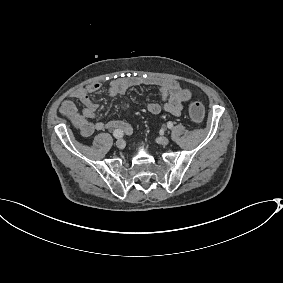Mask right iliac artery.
Returning a JSON list of instances; mask_svg holds the SVG:
<instances>
[{"mask_svg": "<svg viewBox=\"0 0 283 283\" xmlns=\"http://www.w3.org/2000/svg\"><path fill=\"white\" fill-rule=\"evenodd\" d=\"M123 135H124V133H123V131H121V130H115V131L113 132V136H114L115 138H121V137H123Z\"/></svg>", "mask_w": 283, "mask_h": 283, "instance_id": "obj_1", "label": "right iliac artery"}]
</instances>
